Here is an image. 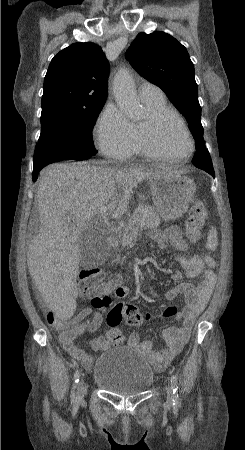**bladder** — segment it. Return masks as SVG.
I'll return each mask as SVG.
<instances>
[{
	"instance_id": "obj_1",
	"label": "bladder",
	"mask_w": 245,
	"mask_h": 450,
	"mask_svg": "<svg viewBox=\"0 0 245 450\" xmlns=\"http://www.w3.org/2000/svg\"><path fill=\"white\" fill-rule=\"evenodd\" d=\"M92 381L105 391L133 395L148 390L155 376L152 367L139 351L130 347H116L95 361Z\"/></svg>"
}]
</instances>
